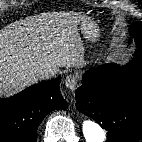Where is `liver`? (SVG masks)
Listing matches in <instances>:
<instances>
[{
	"mask_svg": "<svg viewBox=\"0 0 142 142\" xmlns=\"http://www.w3.org/2000/svg\"><path fill=\"white\" fill-rule=\"evenodd\" d=\"M76 12L43 13L13 22L0 30V95L36 83L43 66H78L82 43Z\"/></svg>",
	"mask_w": 142,
	"mask_h": 142,
	"instance_id": "1",
	"label": "liver"
}]
</instances>
